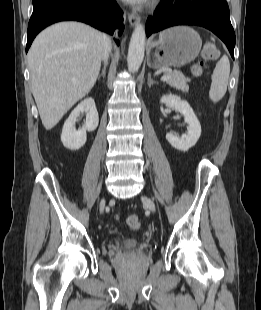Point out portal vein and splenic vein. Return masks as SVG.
Returning <instances> with one entry per match:
<instances>
[{"label": "portal vein and splenic vein", "mask_w": 261, "mask_h": 310, "mask_svg": "<svg viewBox=\"0 0 261 310\" xmlns=\"http://www.w3.org/2000/svg\"><path fill=\"white\" fill-rule=\"evenodd\" d=\"M169 78H170V76H168V75H163L162 78H161V80H162V81H166V80H168Z\"/></svg>", "instance_id": "obj_1"}]
</instances>
